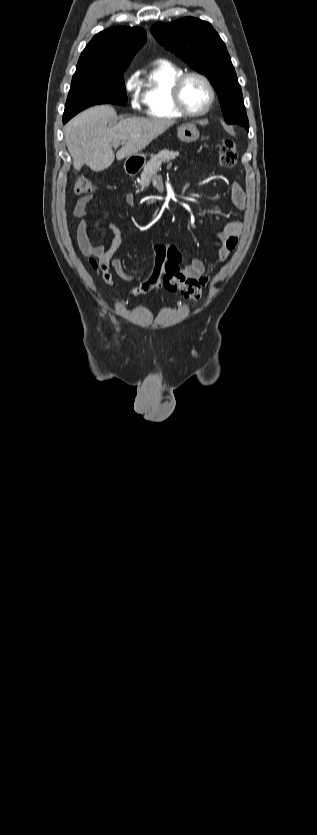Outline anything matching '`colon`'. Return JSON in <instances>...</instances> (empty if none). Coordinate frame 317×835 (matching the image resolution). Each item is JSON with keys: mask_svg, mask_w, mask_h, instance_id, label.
Wrapping results in <instances>:
<instances>
[{"mask_svg": "<svg viewBox=\"0 0 317 835\" xmlns=\"http://www.w3.org/2000/svg\"><path fill=\"white\" fill-rule=\"evenodd\" d=\"M217 160L223 167H232L237 161V148L235 142L227 138L223 141ZM94 183L85 176H80L74 183V192L77 195H86L94 192ZM163 287L172 292H180L185 299L197 302L201 296L202 286L196 279L189 278L182 271L177 262L168 260L163 267L161 277Z\"/></svg>", "mask_w": 317, "mask_h": 835, "instance_id": "1", "label": "colon"}]
</instances>
